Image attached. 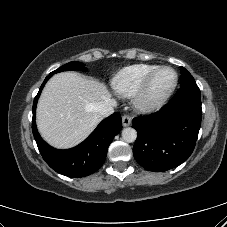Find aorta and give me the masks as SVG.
I'll return each mask as SVG.
<instances>
[{
  "label": "aorta",
  "mask_w": 227,
  "mask_h": 227,
  "mask_svg": "<svg viewBox=\"0 0 227 227\" xmlns=\"http://www.w3.org/2000/svg\"><path fill=\"white\" fill-rule=\"evenodd\" d=\"M122 138L125 142L132 143L137 138V132L134 128L127 127L122 130Z\"/></svg>",
  "instance_id": "aorta-1"
}]
</instances>
